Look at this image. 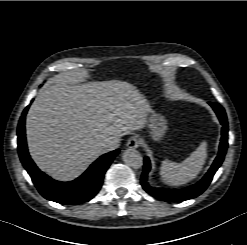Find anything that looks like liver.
Masks as SVG:
<instances>
[{"label":"liver","instance_id":"obj_1","mask_svg":"<svg viewBox=\"0 0 247 245\" xmlns=\"http://www.w3.org/2000/svg\"><path fill=\"white\" fill-rule=\"evenodd\" d=\"M149 107L125 81L75 83L65 78L42 89L26 116V137L37 166L60 181L81 175L107 138L143 127Z\"/></svg>","mask_w":247,"mask_h":245}]
</instances>
